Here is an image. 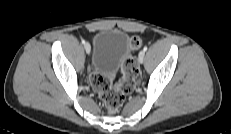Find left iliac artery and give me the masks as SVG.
Instances as JSON below:
<instances>
[{
    "instance_id": "1",
    "label": "left iliac artery",
    "mask_w": 231,
    "mask_h": 134,
    "mask_svg": "<svg viewBox=\"0 0 231 134\" xmlns=\"http://www.w3.org/2000/svg\"><path fill=\"white\" fill-rule=\"evenodd\" d=\"M143 51H144V52L147 51V46H145V47L143 48Z\"/></svg>"
}]
</instances>
